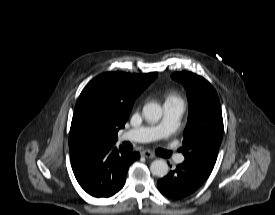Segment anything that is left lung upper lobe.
Returning <instances> with one entry per match:
<instances>
[{"instance_id": "left-lung-upper-lobe-1", "label": "left lung upper lobe", "mask_w": 275, "mask_h": 215, "mask_svg": "<svg viewBox=\"0 0 275 215\" xmlns=\"http://www.w3.org/2000/svg\"><path fill=\"white\" fill-rule=\"evenodd\" d=\"M171 77L184 85L189 103L183 147L180 148L185 156L184 163L210 175L223 135L218 95L207 80L196 74L178 72Z\"/></svg>"}]
</instances>
